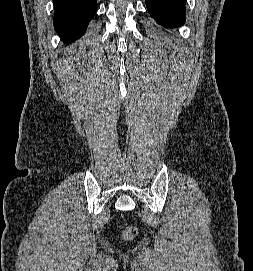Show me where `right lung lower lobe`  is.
Returning a JSON list of instances; mask_svg holds the SVG:
<instances>
[{"label":"right lung lower lobe","instance_id":"obj_1","mask_svg":"<svg viewBox=\"0 0 253 271\" xmlns=\"http://www.w3.org/2000/svg\"><path fill=\"white\" fill-rule=\"evenodd\" d=\"M53 4L54 27L65 42L84 34L97 9L96 0H53Z\"/></svg>","mask_w":253,"mask_h":271}]
</instances>
